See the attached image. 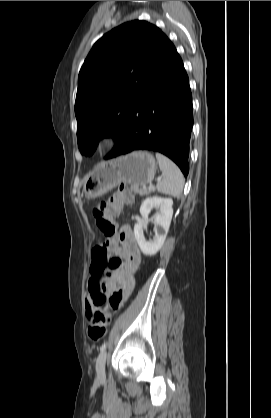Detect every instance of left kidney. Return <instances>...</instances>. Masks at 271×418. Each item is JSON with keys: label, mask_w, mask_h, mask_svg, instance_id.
<instances>
[{"label": "left kidney", "mask_w": 271, "mask_h": 418, "mask_svg": "<svg viewBox=\"0 0 271 418\" xmlns=\"http://www.w3.org/2000/svg\"><path fill=\"white\" fill-rule=\"evenodd\" d=\"M172 205L173 200L171 198H162L157 196L148 197L143 201L140 207L142 219L135 224L134 235L144 255L153 256L163 246L173 215ZM154 208L159 210V212L155 215V222L158 228L155 229V237L153 240L147 241L144 237L143 230L146 228L145 221L151 210Z\"/></svg>", "instance_id": "obj_1"}]
</instances>
